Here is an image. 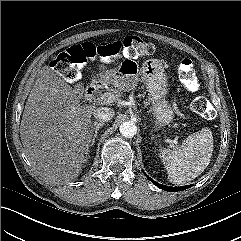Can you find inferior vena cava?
Segmentation results:
<instances>
[{
  "label": "inferior vena cava",
  "instance_id": "602c4592",
  "mask_svg": "<svg viewBox=\"0 0 241 241\" xmlns=\"http://www.w3.org/2000/svg\"><path fill=\"white\" fill-rule=\"evenodd\" d=\"M114 115V110L108 107H98L93 111V116L102 123L110 121Z\"/></svg>",
  "mask_w": 241,
  "mask_h": 241
}]
</instances>
